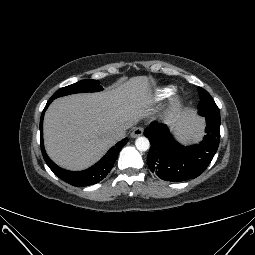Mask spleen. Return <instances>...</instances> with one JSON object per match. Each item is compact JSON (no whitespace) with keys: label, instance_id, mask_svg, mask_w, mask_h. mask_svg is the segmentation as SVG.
Listing matches in <instances>:
<instances>
[{"label":"spleen","instance_id":"3e777b00","mask_svg":"<svg viewBox=\"0 0 255 255\" xmlns=\"http://www.w3.org/2000/svg\"><path fill=\"white\" fill-rule=\"evenodd\" d=\"M201 130V123L199 120V123L192 129V131L188 134L189 138H199L201 136L200 133Z\"/></svg>","mask_w":255,"mask_h":255}]
</instances>
